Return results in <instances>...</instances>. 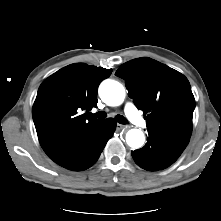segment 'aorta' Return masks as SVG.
<instances>
[{"mask_svg": "<svg viewBox=\"0 0 221 221\" xmlns=\"http://www.w3.org/2000/svg\"><path fill=\"white\" fill-rule=\"evenodd\" d=\"M101 99L109 106L120 105L125 98L123 85L115 80H104L99 87ZM145 141L144 133L139 129H130L126 134L127 144L134 149L143 146Z\"/></svg>", "mask_w": 221, "mask_h": 221, "instance_id": "obj_1", "label": "aorta"}]
</instances>
